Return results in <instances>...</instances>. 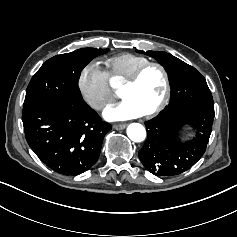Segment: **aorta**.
Returning <instances> with one entry per match:
<instances>
[{"label":"aorta","instance_id":"obj_1","mask_svg":"<svg viewBox=\"0 0 237 237\" xmlns=\"http://www.w3.org/2000/svg\"><path fill=\"white\" fill-rule=\"evenodd\" d=\"M127 136L133 142H142L146 138V130L140 123H131L127 128Z\"/></svg>","mask_w":237,"mask_h":237}]
</instances>
